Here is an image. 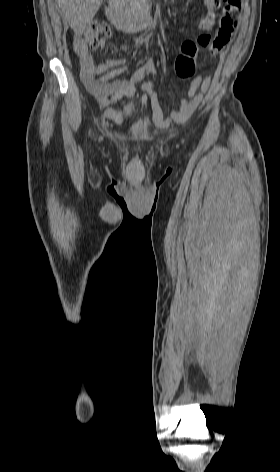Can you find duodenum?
<instances>
[{
	"label": "duodenum",
	"instance_id": "1",
	"mask_svg": "<svg viewBox=\"0 0 280 472\" xmlns=\"http://www.w3.org/2000/svg\"><path fill=\"white\" fill-rule=\"evenodd\" d=\"M108 20L124 32H137L155 22L154 14L138 4L125 5L112 0L106 7Z\"/></svg>",
	"mask_w": 280,
	"mask_h": 472
}]
</instances>
